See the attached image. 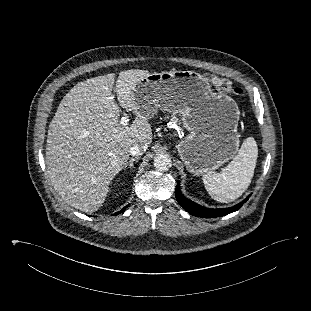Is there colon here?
I'll use <instances>...</instances> for the list:
<instances>
[{"mask_svg": "<svg viewBox=\"0 0 311 311\" xmlns=\"http://www.w3.org/2000/svg\"><path fill=\"white\" fill-rule=\"evenodd\" d=\"M208 79L219 91L228 92L234 96H241L243 94L241 88L233 87L232 82L226 78L211 75Z\"/></svg>", "mask_w": 311, "mask_h": 311, "instance_id": "5ec220e1", "label": "colon"}]
</instances>
